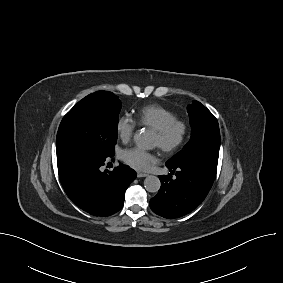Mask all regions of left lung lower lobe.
<instances>
[{
    "instance_id": "left-lung-lower-lobe-1",
    "label": "left lung lower lobe",
    "mask_w": 283,
    "mask_h": 283,
    "mask_svg": "<svg viewBox=\"0 0 283 283\" xmlns=\"http://www.w3.org/2000/svg\"><path fill=\"white\" fill-rule=\"evenodd\" d=\"M171 174L161 175V188L150 200L152 211L164 218L182 217L201 204L208 194L215 177L196 165H172L166 163Z\"/></svg>"
}]
</instances>
